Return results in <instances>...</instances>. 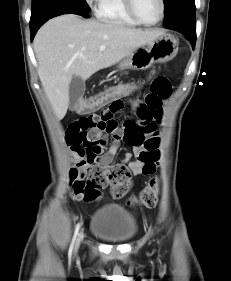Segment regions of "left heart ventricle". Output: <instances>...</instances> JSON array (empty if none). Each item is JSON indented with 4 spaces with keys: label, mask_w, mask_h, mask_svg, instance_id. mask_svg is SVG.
<instances>
[{
    "label": "left heart ventricle",
    "mask_w": 231,
    "mask_h": 281,
    "mask_svg": "<svg viewBox=\"0 0 231 281\" xmlns=\"http://www.w3.org/2000/svg\"><path fill=\"white\" fill-rule=\"evenodd\" d=\"M135 8L139 16L147 21L154 22L160 17V0H134Z\"/></svg>",
    "instance_id": "b2bd125f"
}]
</instances>
